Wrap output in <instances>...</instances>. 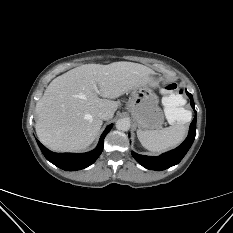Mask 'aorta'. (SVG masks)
I'll list each match as a JSON object with an SVG mask.
<instances>
[{"instance_id":"1","label":"aorta","mask_w":233,"mask_h":233,"mask_svg":"<svg viewBox=\"0 0 233 233\" xmlns=\"http://www.w3.org/2000/svg\"><path fill=\"white\" fill-rule=\"evenodd\" d=\"M130 121L126 118L119 119L116 122V128L120 131H128L130 129Z\"/></svg>"}]
</instances>
